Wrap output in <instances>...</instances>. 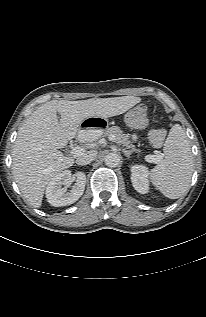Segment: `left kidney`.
<instances>
[{
    "instance_id": "left-kidney-1",
    "label": "left kidney",
    "mask_w": 206,
    "mask_h": 317,
    "mask_svg": "<svg viewBox=\"0 0 206 317\" xmlns=\"http://www.w3.org/2000/svg\"><path fill=\"white\" fill-rule=\"evenodd\" d=\"M131 172V182L134 189L141 194H146L149 190L147 168L143 165H134L131 167Z\"/></svg>"
}]
</instances>
